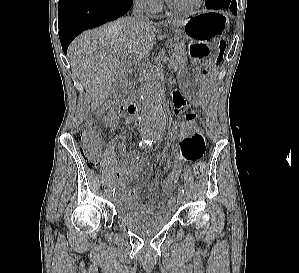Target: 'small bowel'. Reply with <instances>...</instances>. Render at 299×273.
Returning <instances> with one entry per match:
<instances>
[{
    "label": "small bowel",
    "instance_id": "small-bowel-1",
    "mask_svg": "<svg viewBox=\"0 0 299 273\" xmlns=\"http://www.w3.org/2000/svg\"><path fill=\"white\" fill-rule=\"evenodd\" d=\"M173 104L177 111H180L185 106V100L179 92L173 93ZM103 120L110 128L118 129L121 127L116 113L112 110H109L105 114ZM204 153L205 141L198 129L194 130L189 137L179 141L177 160L168 162L166 166L168 175L161 185L160 196L162 200L155 207L150 201L137 206V197L140 189L138 187L129 188L127 186L128 182L134 181L140 175L143 167L146 165V156L124 152L123 158H129L131 162L126 164L124 161H120L116 171L120 209L139 217H149L155 210L173 211L175 203L172 194L181 176L182 165L197 162L202 158Z\"/></svg>",
    "mask_w": 299,
    "mask_h": 273
}]
</instances>
